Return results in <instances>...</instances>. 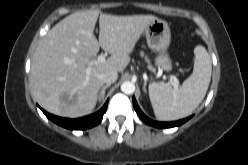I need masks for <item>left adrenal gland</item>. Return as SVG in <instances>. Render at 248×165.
Wrapping results in <instances>:
<instances>
[{"instance_id":"a2214340","label":"left adrenal gland","mask_w":248,"mask_h":165,"mask_svg":"<svg viewBox=\"0 0 248 165\" xmlns=\"http://www.w3.org/2000/svg\"><path fill=\"white\" fill-rule=\"evenodd\" d=\"M146 84H147V82H146V81H144V86H143V90H144V92H146Z\"/></svg>"}]
</instances>
